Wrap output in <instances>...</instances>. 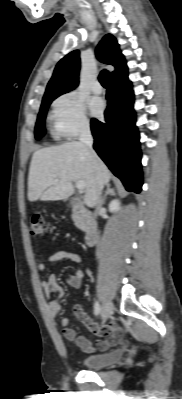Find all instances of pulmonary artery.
Listing matches in <instances>:
<instances>
[{
	"instance_id": "e3ab8cb5",
	"label": "pulmonary artery",
	"mask_w": 182,
	"mask_h": 399,
	"mask_svg": "<svg viewBox=\"0 0 182 399\" xmlns=\"http://www.w3.org/2000/svg\"><path fill=\"white\" fill-rule=\"evenodd\" d=\"M92 91L95 94H101L103 91V88L101 86V84L98 81H95L92 85Z\"/></svg>"
}]
</instances>
